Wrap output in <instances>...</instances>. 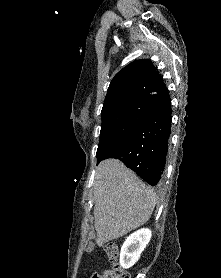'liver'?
Returning <instances> with one entry per match:
<instances>
[{"label":"liver","mask_w":221,"mask_h":278,"mask_svg":"<svg viewBox=\"0 0 221 278\" xmlns=\"http://www.w3.org/2000/svg\"><path fill=\"white\" fill-rule=\"evenodd\" d=\"M95 179L93 214L97 245L118 239L149 220L156 194L121 161L101 162Z\"/></svg>","instance_id":"obj_1"}]
</instances>
